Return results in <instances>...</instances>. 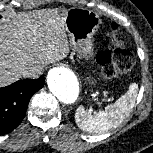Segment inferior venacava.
I'll return each instance as SVG.
<instances>
[{"label": "inferior vena cava", "mask_w": 153, "mask_h": 153, "mask_svg": "<svg viewBox=\"0 0 153 153\" xmlns=\"http://www.w3.org/2000/svg\"><path fill=\"white\" fill-rule=\"evenodd\" d=\"M44 67L42 63L30 64L24 69L23 76L32 79L39 78L43 74Z\"/></svg>", "instance_id": "inferior-vena-cava-1"}]
</instances>
